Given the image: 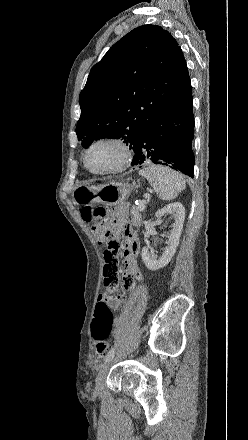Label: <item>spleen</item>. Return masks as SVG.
<instances>
[{
	"label": "spleen",
	"instance_id": "1",
	"mask_svg": "<svg viewBox=\"0 0 248 440\" xmlns=\"http://www.w3.org/2000/svg\"><path fill=\"white\" fill-rule=\"evenodd\" d=\"M154 188L157 196L162 200H173L186 188L182 176L169 167L150 165L139 171Z\"/></svg>",
	"mask_w": 248,
	"mask_h": 440
}]
</instances>
